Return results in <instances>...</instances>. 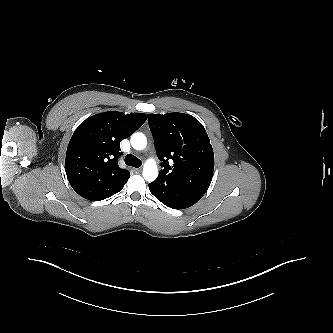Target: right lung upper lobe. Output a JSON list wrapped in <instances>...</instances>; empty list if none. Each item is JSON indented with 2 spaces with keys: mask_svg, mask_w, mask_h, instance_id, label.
Returning a JSON list of instances; mask_svg holds the SVG:
<instances>
[{
  "mask_svg": "<svg viewBox=\"0 0 333 333\" xmlns=\"http://www.w3.org/2000/svg\"><path fill=\"white\" fill-rule=\"evenodd\" d=\"M147 115L109 111L83 121L75 130L66 153V174L72 188L91 201L121 191L130 177L118 165L120 142L146 121Z\"/></svg>",
  "mask_w": 333,
  "mask_h": 333,
  "instance_id": "1",
  "label": "right lung upper lobe"
}]
</instances>
